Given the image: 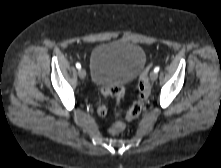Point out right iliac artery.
I'll use <instances>...</instances> for the list:
<instances>
[{
  "mask_svg": "<svg viewBox=\"0 0 221 168\" xmlns=\"http://www.w3.org/2000/svg\"><path fill=\"white\" fill-rule=\"evenodd\" d=\"M76 68L80 69L81 68V64L80 63H76Z\"/></svg>",
  "mask_w": 221,
  "mask_h": 168,
  "instance_id": "right-iliac-artery-1",
  "label": "right iliac artery"
}]
</instances>
